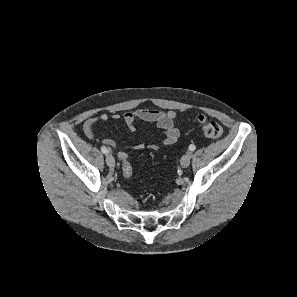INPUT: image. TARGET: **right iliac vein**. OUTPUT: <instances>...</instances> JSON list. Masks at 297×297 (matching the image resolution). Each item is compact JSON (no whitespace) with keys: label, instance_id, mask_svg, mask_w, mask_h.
Here are the masks:
<instances>
[{"label":"right iliac vein","instance_id":"right-iliac-vein-1","mask_svg":"<svg viewBox=\"0 0 297 297\" xmlns=\"http://www.w3.org/2000/svg\"><path fill=\"white\" fill-rule=\"evenodd\" d=\"M106 163L110 168L115 167V159L111 154L106 155Z\"/></svg>","mask_w":297,"mask_h":297}]
</instances>
